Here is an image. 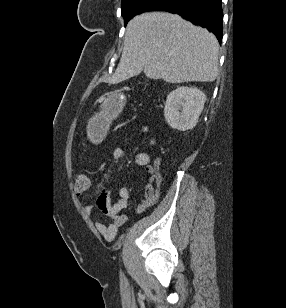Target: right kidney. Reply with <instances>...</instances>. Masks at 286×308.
<instances>
[{
    "label": "right kidney",
    "instance_id": "right-kidney-1",
    "mask_svg": "<svg viewBox=\"0 0 286 308\" xmlns=\"http://www.w3.org/2000/svg\"><path fill=\"white\" fill-rule=\"evenodd\" d=\"M205 94L196 87H178L167 96L164 117L173 129H193L203 110Z\"/></svg>",
    "mask_w": 286,
    "mask_h": 308
}]
</instances>
